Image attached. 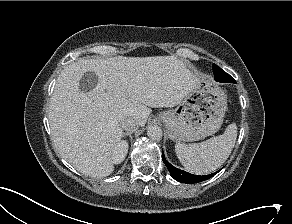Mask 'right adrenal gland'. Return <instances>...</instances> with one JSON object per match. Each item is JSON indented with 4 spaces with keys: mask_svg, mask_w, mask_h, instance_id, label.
Returning a JSON list of instances; mask_svg holds the SVG:
<instances>
[{
    "mask_svg": "<svg viewBox=\"0 0 292 224\" xmlns=\"http://www.w3.org/2000/svg\"><path fill=\"white\" fill-rule=\"evenodd\" d=\"M125 136H129L130 139H131V141H132V139H133V137H132V132H126V133H123V137H125Z\"/></svg>",
    "mask_w": 292,
    "mask_h": 224,
    "instance_id": "1",
    "label": "right adrenal gland"
}]
</instances>
